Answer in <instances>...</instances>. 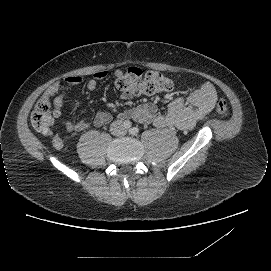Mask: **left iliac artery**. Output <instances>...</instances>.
<instances>
[{
  "label": "left iliac artery",
  "instance_id": "obj_1",
  "mask_svg": "<svg viewBox=\"0 0 271 271\" xmlns=\"http://www.w3.org/2000/svg\"><path fill=\"white\" fill-rule=\"evenodd\" d=\"M129 132L131 135H137L139 133V129L137 127H132Z\"/></svg>",
  "mask_w": 271,
  "mask_h": 271
}]
</instances>
